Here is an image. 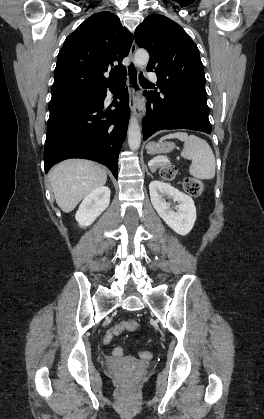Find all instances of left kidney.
<instances>
[{
	"mask_svg": "<svg viewBox=\"0 0 264 419\" xmlns=\"http://www.w3.org/2000/svg\"><path fill=\"white\" fill-rule=\"evenodd\" d=\"M153 207L164 222L177 234L187 235L196 221V208L193 199L168 183L154 180L149 184ZM172 198L179 204L172 209L164 197Z\"/></svg>",
	"mask_w": 264,
	"mask_h": 419,
	"instance_id": "5707ae66",
	"label": "left kidney"
}]
</instances>
